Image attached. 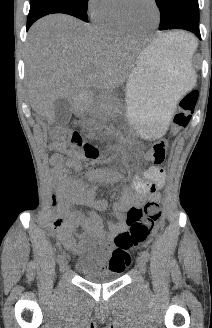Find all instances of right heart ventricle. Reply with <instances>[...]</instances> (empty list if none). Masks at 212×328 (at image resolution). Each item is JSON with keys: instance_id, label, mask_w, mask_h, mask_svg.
Masks as SVG:
<instances>
[{"instance_id": "obj_1", "label": "right heart ventricle", "mask_w": 212, "mask_h": 328, "mask_svg": "<svg viewBox=\"0 0 212 328\" xmlns=\"http://www.w3.org/2000/svg\"><path fill=\"white\" fill-rule=\"evenodd\" d=\"M98 26L103 31L112 34V35H127L131 34L129 31H127L123 25L121 24L118 15L117 10L115 7H113L101 20L98 22Z\"/></svg>"}]
</instances>
